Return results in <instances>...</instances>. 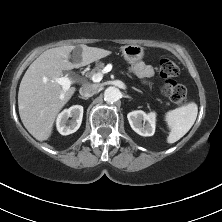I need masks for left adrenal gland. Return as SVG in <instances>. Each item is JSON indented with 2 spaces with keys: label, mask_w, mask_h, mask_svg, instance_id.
I'll return each mask as SVG.
<instances>
[{
  "label": "left adrenal gland",
  "mask_w": 222,
  "mask_h": 222,
  "mask_svg": "<svg viewBox=\"0 0 222 222\" xmlns=\"http://www.w3.org/2000/svg\"><path fill=\"white\" fill-rule=\"evenodd\" d=\"M132 89H133V90H135V91H137V92L142 93V91H141V90H139V89H137V88H135V87H132Z\"/></svg>",
  "instance_id": "1"
}]
</instances>
